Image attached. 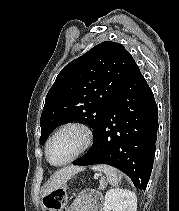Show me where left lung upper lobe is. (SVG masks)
Returning <instances> with one entry per match:
<instances>
[{"instance_id":"1","label":"left lung upper lobe","mask_w":179,"mask_h":211,"mask_svg":"<svg viewBox=\"0 0 179 211\" xmlns=\"http://www.w3.org/2000/svg\"><path fill=\"white\" fill-rule=\"evenodd\" d=\"M133 61L123 45L106 41L68 63L46 96L40 143L47 140L55 127L67 121L88 124L95 136Z\"/></svg>"}]
</instances>
